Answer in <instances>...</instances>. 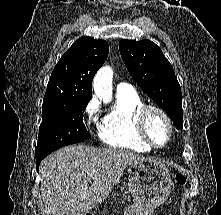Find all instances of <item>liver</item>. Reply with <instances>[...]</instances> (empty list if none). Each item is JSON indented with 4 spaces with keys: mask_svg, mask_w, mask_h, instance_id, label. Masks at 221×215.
Returning <instances> with one entry per match:
<instances>
[{
    "mask_svg": "<svg viewBox=\"0 0 221 215\" xmlns=\"http://www.w3.org/2000/svg\"><path fill=\"white\" fill-rule=\"evenodd\" d=\"M148 159L116 148L59 149L39 168L45 215H85L109 197L127 166Z\"/></svg>",
    "mask_w": 221,
    "mask_h": 215,
    "instance_id": "1",
    "label": "liver"
}]
</instances>
